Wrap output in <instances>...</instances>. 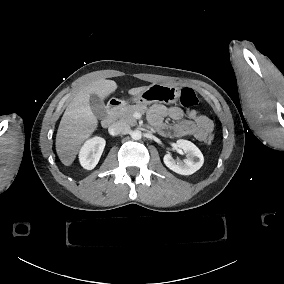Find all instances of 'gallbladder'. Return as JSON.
<instances>
[{"label":"gallbladder","mask_w":284,"mask_h":284,"mask_svg":"<svg viewBox=\"0 0 284 284\" xmlns=\"http://www.w3.org/2000/svg\"><path fill=\"white\" fill-rule=\"evenodd\" d=\"M91 109L93 114L100 120H104L107 118V110L102 101H100L97 97L92 96L90 99Z\"/></svg>","instance_id":"gallbladder-1"}]
</instances>
